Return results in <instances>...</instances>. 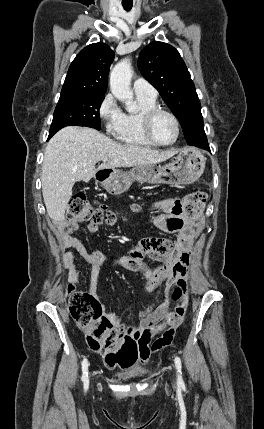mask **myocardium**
Returning <instances> with one entry per match:
<instances>
[{
  "mask_svg": "<svg viewBox=\"0 0 264 429\" xmlns=\"http://www.w3.org/2000/svg\"><path fill=\"white\" fill-rule=\"evenodd\" d=\"M160 114L167 115L168 117H170L173 120V122L175 124L176 135H175V138L171 142L162 143V142L158 141L155 138L154 134H153V129H152L153 122H154L155 118L158 115H160ZM142 130H143V133H144L145 137L153 145L166 147V146H171V145H173V144H175L177 142V140H178V138L180 136V130H181V128H180L179 119L177 118V116L173 112H171V111H169L167 109H164V108L156 106V107H153V108H150V109L146 110L142 114Z\"/></svg>",
  "mask_w": 264,
  "mask_h": 429,
  "instance_id": "obj_1",
  "label": "myocardium"
}]
</instances>
